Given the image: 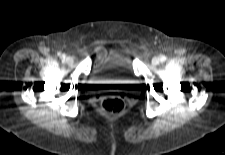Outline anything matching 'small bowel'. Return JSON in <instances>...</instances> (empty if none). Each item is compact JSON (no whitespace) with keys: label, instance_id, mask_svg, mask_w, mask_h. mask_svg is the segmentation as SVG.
I'll return each mask as SVG.
<instances>
[{"label":"small bowel","instance_id":"1","mask_svg":"<svg viewBox=\"0 0 225 155\" xmlns=\"http://www.w3.org/2000/svg\"><path fill=\"white\" fill-rule=\"evenodd\" d=\"M104 51L102 49H98V54H102Z\"/></svg>","mask_w":225,"mask_h":155}]
</instances>
